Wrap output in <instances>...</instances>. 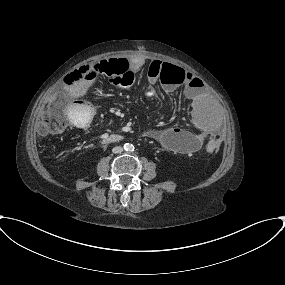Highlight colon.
<instances>
[{"mask_svg": "<svg viewBox=\"0 0 285 285\" xmlns=\"http://www.w3.org/2000/svg\"><path fill=\"white\" fill-rule=\"evenodd\" d=\"M186 71L175 66H165L160 78L164 82L182 81ZM95 76H106L111 81L126 87H131L136 79V74L129 62L125 59L103 60L94 65L82 66L72 74L74 82L92 78ZM68 111L65 104L58 97L52 98L47 105V110L43 116L38 119L37 133L40 136H48L63 132L68 125ZM92 121L89 119H79V126L87 127ZM220 148V139L218 136L210 137L205 143V150L209 153H215Z\"/></svg>", "mask_w": 285, "mask_h": 285, "instance_id": "obj_1", "label": "colon"}]
</instances>
